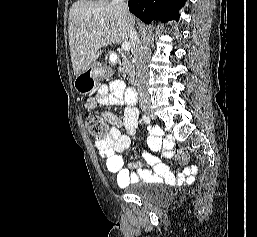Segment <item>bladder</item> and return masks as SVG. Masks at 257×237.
<instances>
[{
    "label": "bladder",
    "instance_id": "obj_1",
    "mask_svg": "<svg viewBox=\"0 0 257 237\" xmlns=\"http://www.w3.org/2000/svg\"><path fill=\"white\" fill-rule=\"evenodd\" d=\"M148 183V182H147ZM134 194L142 199H146L155 203H159L166 199V197L162 195H150L146 191L142 189H134Z\"/></svg>",
    "mask_w": 257,
    "mask_h": 237
}]
</instances>
